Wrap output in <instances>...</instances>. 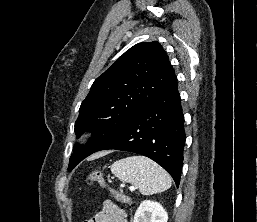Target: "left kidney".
Wrapping results in <instances>:
<instances>
[{"mask_svg":"<svg viewBox=\"0 0 257 222\" xmlns=\"http://www.w3.org/2000/svg\"><path fill=\"white\" fill-rule=\"evenodd\" d=\"M168 214L158 202L144 200L138 207L133 222H167Z\"/></svg>","mask_w":257,"mask_h":222,"instance_id":"left-kidney-1","label":"left kidney"}]
</instances>
